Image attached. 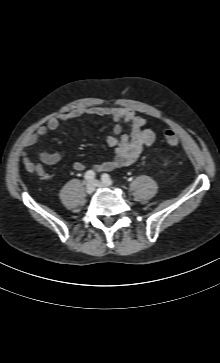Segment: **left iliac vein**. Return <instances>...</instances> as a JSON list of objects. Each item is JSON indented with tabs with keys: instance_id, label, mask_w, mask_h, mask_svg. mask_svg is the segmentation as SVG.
<instances>
[{
	"instance_id": "left-iliac-vein-1",
	"label": "left iliac vein",
	"mask_w": 220,
	"mask_h": 363,
	"mask_svg": "<svg viewBox=\"0 0 220 363\" xmlns=\"http://www.w3.org/2000/svg\"><path fill=\"white\" fill-rule=\"evenodd\" d=\"M94 184L96 187H99V188H102V187H107L108 185L107 184H104L98 180H93Z\"/></svg>"
}]
</instances>
